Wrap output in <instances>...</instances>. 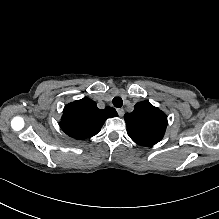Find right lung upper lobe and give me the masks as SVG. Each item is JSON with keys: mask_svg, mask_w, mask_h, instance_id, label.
I'll list each match as a JSON object with an SVG mask.
<instances>
[{"mask_svg": "<svg viewBox=\"0 0 219 219\" xmlns=\"http://www.w3.org/2000/svg\"><path fill=\"white\" fill-rule=\"evenodd\" d=\"M117 115L114 108L100 110L96 102L84 97L64 107L60 126L70 137L86 139L99 133L106 119Z\"/></svg>", "mask_w": 219, "mask_h": 219, "instance_id": "right-lung-upper-lobe-1", "label": "right lung upper lobe"}]
</instances>
